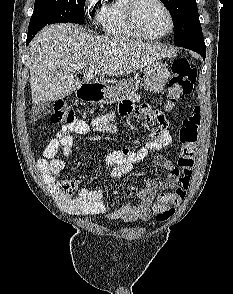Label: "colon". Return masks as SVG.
Returning <instances> with one entry per match:
<instances>
[{"mask_svg": "<svg viewBox=\"0 0 233 294\" xmlns=\"http://www.w3.org/2000/svg\"><path fill=\"white\" fill-rule=\"evenodd\" d=\"M196 82V71L189 59L178 58L172 64V76L169 81L167 108H172L183 96L191 93ZM75 121L74 112L66 102H59L50 116V122L54 125H69ZM201 109L195 106L192 112L183 120L179 130L181 143L178 166L180 168L179 183L177 188L168 194H160L153 205L156 219L160 222L170 219L174 212V206H178L186 197L194 166L196 145L201 125ZM77 180L69 178L59 184L60 191L67 196H72L76 188Z\"/></svg>", "mask_w": 233, "mask_h": 294, "instance_id": "5ec220e1", "label": "colon"}]
</instances>
